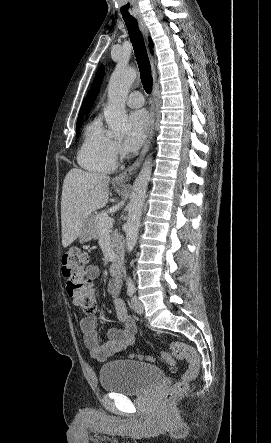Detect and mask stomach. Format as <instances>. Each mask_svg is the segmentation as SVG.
<instances>
[{"instance_id": "0dacf381", "label": "stomach", "mask_w": 271, "mask_h": 443, "mask_svg": "<svg viewBox=\"0 0 271 443\" xmlns=\"http://www.w3.org/2000/svg\"><path fill=\"white\" fill-rule=\"evenodd\" d=\"M93 233V218H86L85 222L82 223L81 233L78 235V237L81 239V241H90V239L93 237Z\"/></svg>"}]
</instances>
